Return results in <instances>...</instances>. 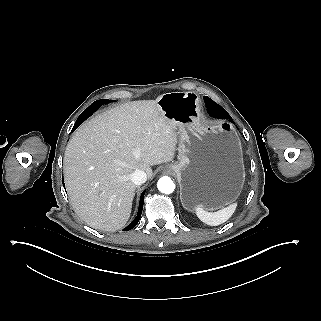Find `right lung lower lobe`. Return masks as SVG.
<instances>
[{"instance_id": "obj_1", "label": "right lung lower lobe", "mask_w": 321, "mask_h": 321, "mask_svg": "<svg viewBox=\"0 0 321 321\" xmlns=\"http://www.w3.org/2000/svg\"><path fill=\"white\" fill-rule=\"evenodd\" d=\"M109 101L108 100H98L93 102L77 119V121L74 124V127L72 131H74L83 121H85L88 117H90L101 105L107 104ZM144 194L145 191L142 192L141 197H140V203H139V210L137 213L136 218L124 229V231L131 230L133 227L136 226L138 223L142 209H143V201H144Z\"/></svg>"}]
</instances>
